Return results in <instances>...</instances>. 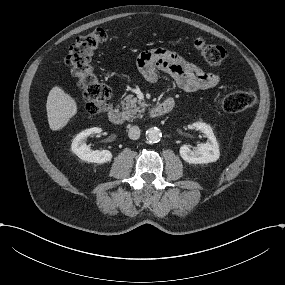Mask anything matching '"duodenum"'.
<instances>
[{
  "label": "duodenum",
  "instance_id": "410a0bca",
  "mask_svg": "<svg viewBox=\"0 0 285 285\" xmlns=\"http://www.w3.org/2000/svg\"><path fill=\"white\" fill-rule=\"evenodd\" d=\"M174 108V99L169 97L165 99L160 104L154 106L150 110V114L152 117H161L171 112ZM107 115L109 120L114 124H122L123 123V114L122 112L115 106H112L108 109Z\"/></svg>",
  "mask_w": 285,
  "mask_h": 285
}]
</instances>
